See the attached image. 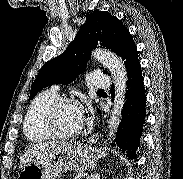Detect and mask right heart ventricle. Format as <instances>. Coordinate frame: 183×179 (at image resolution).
Listing matches in <instances>:
<instances>
[{
  "instance_id": "right-heart-ventricle-1",
  "label": "right heart ventricle",
  "mask_w": 183,
  "mask_h": 179,
  "mask_svg": "<svg viewBox=\"0 0 183 179\" xmlns=\"http://www.w3.org/2000/svg\"><path fill=\"white\" fill-rule=\"evenodd\" d=\"M56 98H58L56 90H46L39 93L30 104L24 121V133L29 140L41 142L51 138L43 126V115Z\"/></svg>"
}]
</instances>
